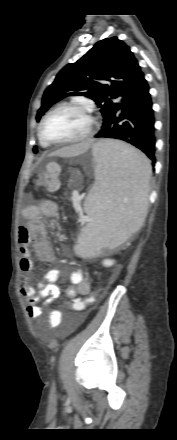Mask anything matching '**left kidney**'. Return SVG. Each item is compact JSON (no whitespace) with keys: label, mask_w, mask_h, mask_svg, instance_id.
Returning <instances> with one entry per match:
<instances>
[{"label":"left kidney","mask_w":177,"mask_h":440,"mask_svg":"<svg viewBox=\"0 0 177 440\" xmlns=\"http://www.w3.org/2000/svg\"><path fill=\"white\" fill-rule=\"evenodd\" d=\"M114 263H115V261H114V260H111V259H105V260L103 261V265H104L105 267H111L112 265H114Z\"/></svg>","instance_id":"obj_1"}]
</instances>
